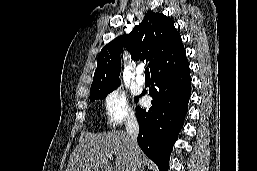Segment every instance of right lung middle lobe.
Listing matches in <instances>:
<instances>
[{"mask_svg": "<svg viewBox=\"0 0 257 171\" xmlns=\"http://www.w3.org/2000/svg\"><path fill=\"white\" fill-rule=\"evenodd\" d=\"M117 87L118 86H115V87H112V88H108V89H104V90H99V91L91 92L90 93V101L104 99L110 92L115 90Z\"/></svg>", "mask_w": 257, "mask_h": 171, "instance_id": "dd1d6c3e", "label": "right lung middle lobe"}]
</instances>
